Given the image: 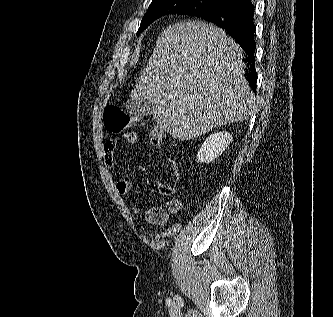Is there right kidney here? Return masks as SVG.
Segmentation results:
<instances>
[{"instance_id":"1","label":"right kidney","mask_w":333,"mask_h":317,"mask_svg":"<svg viewBox=\"0 0 333 317\" xmlns=\"http://www.w3.org/2000/svg\"><path fill=\"white\" fill-rule=\"evenodd\" d=\"M231 141L232 136L226 131L211 134L201 145L197 154V162L210 163L223 153Z\"/></svg>"}]
</instances>
